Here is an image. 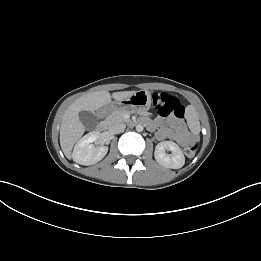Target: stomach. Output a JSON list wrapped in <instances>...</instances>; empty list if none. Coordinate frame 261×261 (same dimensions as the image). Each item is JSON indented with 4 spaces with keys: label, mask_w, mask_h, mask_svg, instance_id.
Returning <instances> with one entry per match:
<instances>
[{
    "label": "stomach",
    "mask_w": 261,
    "mask_h": 261,
    "mask_svg": "<svg viewBox=\"0 0 261 261\" xmlns=\"http://www.w3.org/2000/svg\"><path fill=\"white\" fill-rule=\"evenodd\" d=\"M151 103V93L147 90H138L126 99L112 102L103 110L105 113L122 109H135L138 111H147L148 109H150Z\"/></svg>",
    "instance_id": "0dacf381"
}]
</instances>
